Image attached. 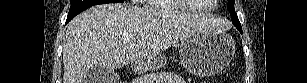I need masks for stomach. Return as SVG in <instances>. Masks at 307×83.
<instances>
[{
    "label": "stomach",
    "mask_w": 307,
    "mask_h": 83,
    "mask_svg": "<svg viewBox=\"0 0 307 83\" xmlns=\"http://www.w3.org/2000/svg\"><path fill=\"white\" fill-rule=\"evenodd\" d=\"M235 53L232 37L224 32L196 35L180 42L179 56L181 65L196 76H212L222 70ZM166 59L155 56L145 63L133 66L135 71L155 70L164 66Z\"/></svg>",
    "instance_id": "1"
}]
</instances>
